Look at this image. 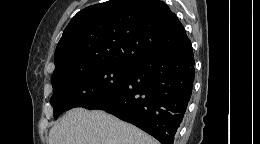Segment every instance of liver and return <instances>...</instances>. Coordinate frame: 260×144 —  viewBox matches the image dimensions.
I'll return each instance as SVG.
<instances>
[{
  "instance_id": "liver-1",
  "label": "liver",
  "mask_w": 260,
  "mask_h": 144,
  "mask_svg": "<svg viewBox=\"0 0 260 144\" xmlns=\"http://www.w3.org/2000/svg\"><path fill=\"white\" fill-rule=\"evenodd\" d=\"M49 144H158V141L104 111L74 108L50 129Z\"/></svg>"
}]
</instances>
